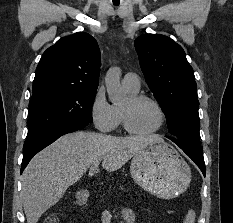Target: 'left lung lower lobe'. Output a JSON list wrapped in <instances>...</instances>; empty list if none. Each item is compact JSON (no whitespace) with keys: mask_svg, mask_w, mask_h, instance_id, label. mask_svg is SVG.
I'll list each match as a JSON object with an SVG mask.
<instances>
[{"mask_svg":"<svg viewBox=\"0 0 233 223\" xmlns=\"http://www.w3.org/2000/svg\"><path fill=\"white\" fill-rule=\"evenodd\" d=\"M174 143L177 144L195 162V164L200 168L203 175L205 176L206 168L201 145L195 146L190 144Z\"/></svg>","mask_w":233,"mask_h":223,"instance_id":"left-lung-lower-lobe-1","label":"left lung lower lobe"}]
</instances>
